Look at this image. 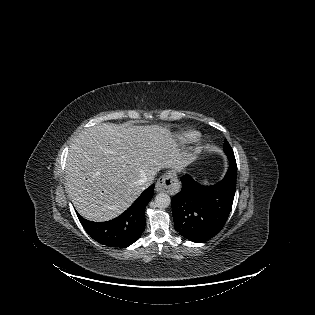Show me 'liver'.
<instances>
[{
  "label": "liver",
  "instance_id": "1",
  "mask_svg": "<svg viewBox=\"0 0 315 315\" xmlns=\"http://www.w3.org/2000/svg\"><path fill=\"white\" fill-rule=\"evenodd\" d=\"M185 163L165 127L102 123L82 131L70 145L65 187L84 218L108 221L136 200L145 178Z\"/></svg>",
  "mask_w": 315,
  "mask_h": 315
}]
</instances>
